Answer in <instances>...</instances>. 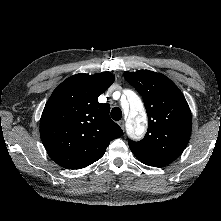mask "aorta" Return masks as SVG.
Returning a JSON list of instances; mask_svg holds the SVG:
<instances>
[{"instance_id": "obj_1", "label": "aorta", "mask_w": 221, "mask_h": 221, "mask_svg": "<svg viewBox=\"0 0 221 221\" xmlns=\"http://www.w3.org/2000/svg\"><path fill=\"white\" fill-rule=\"evenodd\" d=\"M129 102L132 113H138L139 115L130 117V127L128 131L132 136L138 137L142 135L146 128L143 103L135 93H132Z\"/></svg>"}]
</instances>
